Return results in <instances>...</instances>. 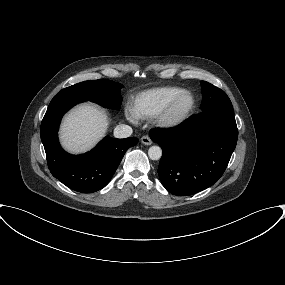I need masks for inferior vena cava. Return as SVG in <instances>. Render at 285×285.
Listing matches in <instances>:
<instances>
[{
  "label": "inferior vena cava",
  "instance_id": "obj_1",
  "mask_svg": "<svg viewBox=\"0 0 285 285\" xmlns=\"http://www.w3.org/2000/svg\"><path fill=\"white\" fill-rule=\"evenodd\" d=\"M133 130L130 126L125 124L117 125L114 129V137L116 138H127L130 137Z\"/></svg>",
  "mask_w": 285,
  "mask_h": 285
}]
</instances>
